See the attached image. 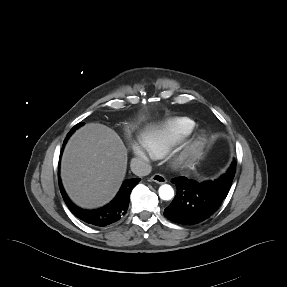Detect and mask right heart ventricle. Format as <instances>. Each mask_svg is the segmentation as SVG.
<instances>
[{
    "label": "right heart ventricle",
    "instance_id": "1",
    "mask_svg": "<svg viewBox=\"0 0 287 287\" xmlns=\"http://www.w3.org/2000/svg\"><path fill=\"white\" fill-rule=\"evenodd\" d=\"M195 124L186 117H171L148 124L144 131L153 155L163 156L173 146L186 140L194 131Z\"/></svg>",
    "mask_w": 287,
    "mask_h": 287
}]
</instances>
